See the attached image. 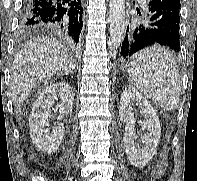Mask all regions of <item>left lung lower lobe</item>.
Segmentation results:
<instances>
[{
  "label": "left lung lower lobe",
  "instance_id": "1",
  "mask_svg": "<svg viewBox=\"0 0 197 181\" xmlns=\"http://www.w3.org/2000/svg\"><path fill=\"white\" fill-rule=\"evenodd\" d=\"M180 0H150L148 13L139 24L126 29L120 56L128 58L152 45L180 50Z\"/></svg>",
  "mask_w": 197,
  "mask_h": 181
}]
</instances>
